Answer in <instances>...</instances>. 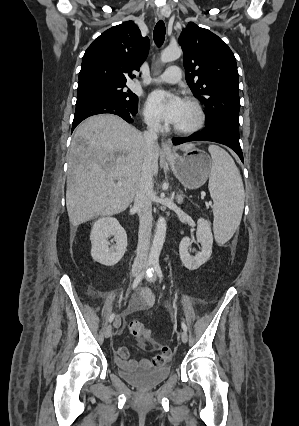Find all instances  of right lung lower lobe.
Listing matches in <instances>:
<instances>
[{"mask_svg": "<svg viewBox=\"0 0 299 426\" xmlns=\"http://www.w3.org/2000/svg\"><path fill=\"white\" fill-rule=\"evenodd\" d=\"M103 113L118 115L128 123H132V116L137 113V106L126 107L110 98L98 95H83L77 97L72 131L82 120L86 119L87 117Z\"/></svg>", "mask_w": 299, "mask_h": 426, "instance_id": "98d812e1", "label": "right lung lower lobe"}]
</instances>
